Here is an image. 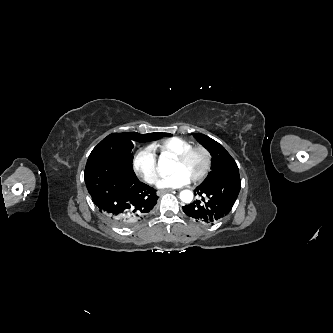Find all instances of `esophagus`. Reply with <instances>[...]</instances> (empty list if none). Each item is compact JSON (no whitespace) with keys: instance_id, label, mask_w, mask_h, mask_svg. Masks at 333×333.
<instances>
[{"instance_id":"34e87169","label":"esophagus","mask_w":333,"mask_h":333,"mask_svg":"<svg viewBox=\"0 0 333 333\" xmlns=\"http://www.w3.org/2000/svg\"><path fill=\"white\" fill-rule=\"evenodd\" d=\"M170 191H173V189H163V190H159V191L157 192V195H158V196H161L162 194L167 193V192H170Z\"/></svg>"}]
</instances>
